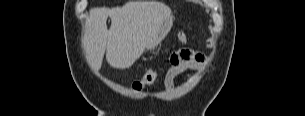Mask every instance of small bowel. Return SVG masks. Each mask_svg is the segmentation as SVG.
Here are the masks:
<instances>
[{
  "instance_id": "small-bowel-1",
  "label": "small bowel",
  "mask_w": 305,
  "mask_h": 116,
  "mask_svg": "<svg viewBox=\"0 0 305 116\" xmlns=\"http://www.w3.org/2000/svg\"><path fill=\"white\" fill-rule=\"evenodd\" d=\"M205 60V56L199 52H192L190 50H179L172 54L171 65L167 70L163 86L166 91H172L174 88L175 79L182 73L188 70L199 69Z\"/></svg>"
}]
</instances>
